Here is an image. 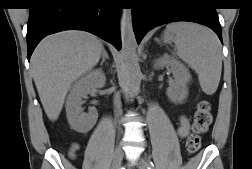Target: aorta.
<instances>
[{"mask_svg":"<svg viewBox=\"0 0 252 169\" xmlns=\"http://www.w3.org/2000/svg\"><path fill=\"white\" fill-rule=\"evenodd\" d=\"M136 40L131 30L124 33L122 54L125 59L124 69L129 85V92L132 98L139 95L141 87V71L133 64V57L135 55Z\"/></svg>","mask_w":252,"mask_h":169,"instance_id":"obj_1","label":"aorta"}]
</instances>
